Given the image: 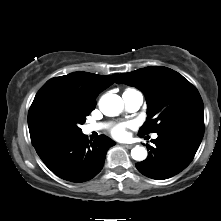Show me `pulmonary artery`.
I'll return each mask as SVG.
<instances>
[{"label":"pulmonary artery","instance_id":"1","mask_svg":"<svg viewBox=\"0 0 221 221\" xmlns=\"http://www.w3.org/2000/svg\"><path fill=\"white\" fill-rule=\"evenodd\" d=\"M125 107L130 112L137 111L143 104V96L140 92L135 90H127L122 95ZM103 128V124H90L87 125L85 130L90 133L98 131ZM153 138H157V134L153 135Z\"/></svg>","mask_w":221,"mask_h":221}]
</instances>
